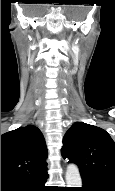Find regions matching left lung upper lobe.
Segmentation results:
<instances>
[{
  "mask_svg": "<svg viewBox=\"0 0 115 191\" xmlns=\"http://www.w3.org/2000/svg\"><path fill=\"white\" fill-rule=\"evenodd\" d=\"M61 153L78 165L82 180L115 191V142L102 128L74 123L63 138Z\"/></svg>",
  "mask_w": 115,
  "mask_h": 191,
  "instance_id": "left-lung-upper-lobe-1",
  "label": "left lung upper lobe"
}]
</instances>
